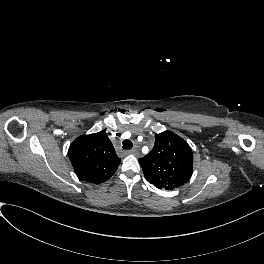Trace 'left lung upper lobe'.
<instances>
[{
	"mask_svg": "<svg viewBox=\"0 0 264 264\" xmlns=\"http://www.w3.org/2000/svg\"><path fill=\"white\" fill-rule=\"evenodd\" d=\"M146 180L159 189L173 190L185 184L193 173L190 146L171 131L155 135L149 154L139 159Z\"/></svg>",
	"mask_w": 264,
	"mask_h": 264,
	"instance_id": "left-lung-upper-lobe-1",
	"label": "left lung upper lobe"
}]
</instances>
